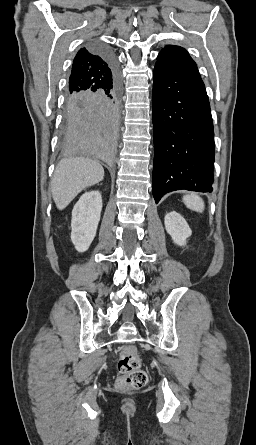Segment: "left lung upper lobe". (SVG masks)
I'll list each match as a JSON object with an SVG mask.
<instances>
[{"label": "left lung upper lobe", "mask_w": 256, "mask_h": 445, "mask_svg": "<svg viewBox=\"0 0 256 445\" xmlns=\"http://www.w3.org/2000/svg\"><path fill=\"white\" fill-rule=\"evenodd\" d=\"M157 63L166 65L188 77L202 80L196 63L188 52L180 46L168 45L163 48L157 57Z\"/></svg>", "instance_id": "left-lung-upper-lobe-1"}]
</instances>
